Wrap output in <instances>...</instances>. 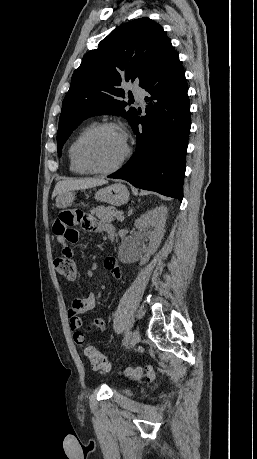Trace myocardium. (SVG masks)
<instances>
[{"instance_id": "myocardium-1", "label": "myocardium", "mask_w": 257, "mask_h": 459, "mask_svg": "<svg viewBox=\"0 0 257 459\" xmlns=\"http://www.w3.org/2000/svg\"><path fill=\"white\" fill-rule=\"evenodd\" d=\"M104 129H114V130H118V131H120L122 133V128L116 123H113V122L98 123V124H95V125L91 126L90 128H88L82 134V136L77 141V144H76V147H75V156H76V160H77L78 164L83 169H85L86 171H88L90 173L109 174V173L115 172L116 170H118L124 164V162L127 160V158L130 155V151L131 150H130V147H129L128 143L126 142L125 151H124L123 155L120 157V159L114 165H112L110 167H107V168H101V167L94 166V165L90 164L89 162H87L85 160L84 156H83V147H84V145L86 144V142L94 134H96L97 132H99L101 130H104Z\"/></svg>"}]
</instances>
